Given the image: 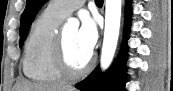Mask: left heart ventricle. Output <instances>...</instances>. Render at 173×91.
I'll use <instances>...</instances> for the list:
<instances>
[{
  "mask_svg": "<svg viewBox=\"0 0 173 91\" xmlns=\"http://www.w3.org/2000/svg\"><path fill=\"white\" fill-rule=\"evenodd\" d=\"M67 55L74 69L82 68L90 58L88 54L83 52L77 42V29L69 28L63 31Z\"/></svg>",
  "mask_w": 173,
  "mask_h": 91,
  "instance_id": "obj_1",
  "label": "left heart ventricle"
}]
</instances>
